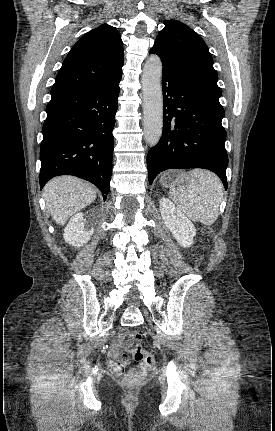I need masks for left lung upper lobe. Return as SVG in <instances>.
Segmentation results:
<instances>
[{
	"label": "left lung upper lobe",
	"mask_w": 275,
	"mask_h": 431,
	"mask_svg": "<svg viewBox=\"0 0 275 431\" xmlns=\"http://www.w3.org/2000/svg\"><path fill=\"white\" fill-rule=\"evenodd\" d=\"M164 23L165 27L159 32L151 52L160 56L163 67L181 76L205 99L222 107L218 75L206 43L179 21Z\"/></svg>",
	"instance_id": "1"
}]
</instances>
